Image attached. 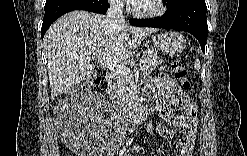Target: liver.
<instances>
[{
	"label": "liver",
	"mask_w": 247,
	"mask_h": 156,
	"mask_svg": "<svg viewBox=\"0 0 247 156\" xmlns=\"http://www.w3.org/2000/svg\"><path fill=\"white\" fill-rule=\"evenodd\" d=\"M156 31L114 24L103 15L82 10L63 15L43 40L52 100L95 73L92 59L120 64Z\"/></svg>",
	"instance_id": "obj_1"
}]
</instances>
